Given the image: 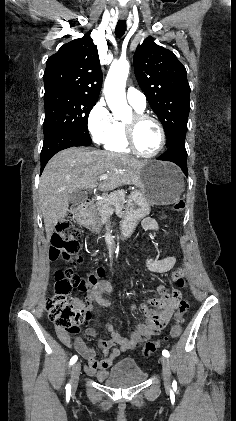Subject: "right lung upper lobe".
Segmentation results:
<instances>
[{
  "instance_id": "cb5924a9",
  "label": "right lung upper lobe",
  "mask_w": 236,
  "mask_h": 421,
  "mask_svg": "<svg viewBox=\"0 0 236 421\" xmlns=\"http://www.w3.org/2000/svg\"><path fill=\"white\" fill-rule=\"evenodd\" d=\"M88 34L64 44L49 57L44 72L45 92L66 91L98 99L102 72L97 47Z\"/></svg>"
}]
</instances>
